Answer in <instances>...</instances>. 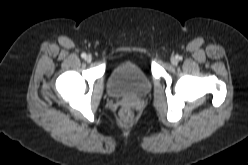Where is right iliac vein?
Masks as SVG:
<instances>
[{
  "mask_svg": "<svg viewBox=\"0 0 248 165\" xmlns=\"http://www.w3.org/2000/svg\"><path fill=\"white\" fill-rule=\"evenodd\" d=\"M86 61H87V62H91V61H92V57H91L90 55H88V56L86 57Z\"/></svg>",
  "mask_w": 248,
  "mask_h": 165,
  "instance_id": "obj_1",
  "label": "right iliac vein"
}]
</instances>
